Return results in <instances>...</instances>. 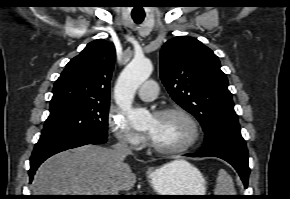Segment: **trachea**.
<instances>
[{
    "label": "trachea",
    "mask_w": 290,
    "mask_h": 199,
    "mask_svg": "<svg viewBox=\"0 0 290 199\" xmlns=\"http://www.w3.org/2000/svg\"><path fill=\"white\" fill-rule=\"evenodd\" d=\"M132 18L137 24L141 23L144 20V16H134L133 15Z\"/></svg>",
    "instance_id": "3493384b"
}]
</instances>
